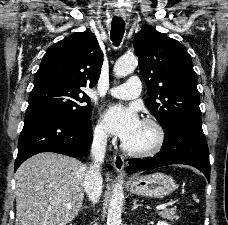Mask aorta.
<instances>
[{
	"label": "aorta",
	"mask_w": 228,
	"mask_h": 225,
	"mask_svg": "<svg viewBox=\"0 0 228 225\" xmlns=\"http://www.w3.org/2000/svg\"><path fill=\"white\" fill-rule=\"evenodd\" d=\"M138 64V58L135 54H123L114 64V74L115 76H127L135 70ZM124 181H118L116 183L112 195L110 197L108 215H107V225H122L121 213L123 207L124 199Z\"/></svg>",
	"instance_id": "obj_1"
}]
</instances>
